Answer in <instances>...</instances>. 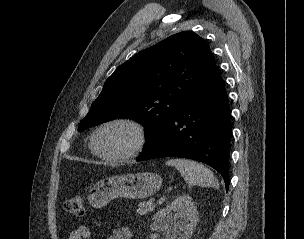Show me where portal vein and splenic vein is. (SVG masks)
I'll list each match as a JSON object with an SVG mask.
<instances>
[{
	"mask_svg": "<svg viewBox=\"0 0 304 239\" xmlns=\"http://www.w3.org/2000/svg\"><path fill=\"white\" fill-rule=\"evenodd\" d=\"M162 202H163V198H160L159 201H158V203L160 204Z\"/></svg>",
	"mask_w": 304,
	"mask_h": 239,
	"instance_id": "18ae733b",
	"label": "portal vein and splenic vein"
}]
</instances>
